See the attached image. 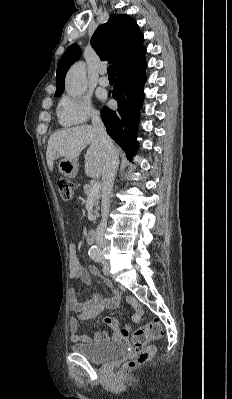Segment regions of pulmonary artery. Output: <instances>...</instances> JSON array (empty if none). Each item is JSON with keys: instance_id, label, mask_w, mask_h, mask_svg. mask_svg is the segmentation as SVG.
I'll return each mask as SVG.
<instances>
[{"instance_id": "pulmonary-artery-1", "label": "pulmonary artery", "mask_w": 232, "mask_h": 399, "mask_svg": "<svg viewBox=\"0 0 232 399\" xmlns=\"http://www.w3.org/2000/svg\"><path fill=\"white\" fill-rule=\"evenodd\" d=\"M105 75H106V70L100 69L98 75V85H99L98 90H105V88L109 86V81L105 79Z\"/></svg>"}]
</instances>
